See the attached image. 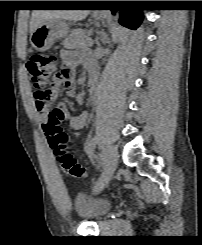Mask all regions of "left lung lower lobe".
<instances>
[{
  "label": "left lung lower lobe",
  "mask_w": 202,
  "mask_h": 245,
  "mask_svg": "<svg viewBox=\"0 0 202 245\" xmlns=\"http://www.w3.org/2000/svg\"><path fill=\"white\" fill-rule=\"evenodd\" d=\"M93 4L94 2H90ZM116 10H112L115 13ZM120 23L130 29H136L142 22L143 16L140 10H122Z\"/></svg>",
  "instance_id": "left-lung-lower-lobe-1"
}]
</instances>
